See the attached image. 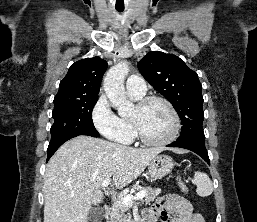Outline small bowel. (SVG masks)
I'll return each instance as SVG.
<instances>
[{"instance_id": "small-bowel-1", "label": "small bowel", "mask_w": 257, "mask_h": 222, "mask_svg": "<svg viewBox=\"0 0 257 222\" xmlns=\"http://www.w3.org/2000/svg\"><path fill=\"white\" fill-rule=\"evenodd\" d=\"M144 222H205L203 217L193 212L190 202L179 195L160 197L144 212Z\"/></svg>"}]
</instances>
